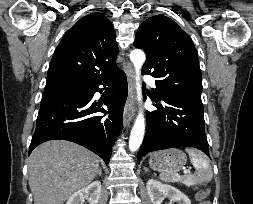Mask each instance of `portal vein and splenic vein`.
Here are the masks:
<instances>
[{
	"label": "portal vein and splenic vein",
	"mask_w": 253,
	"mask_h": 204,
	"mask_svg": "<svg viewBox=\"0 0 253 204\" xmlns=\"http://www.w3.org/2000/svg\"><path fill=\"white\" fill-rule=\"evenodd\" d=\"M189 173H190V170H187V169L184 170V174H189Z\"/></svg>",
	"instance_id": "obj_1"
}]
</instances>
